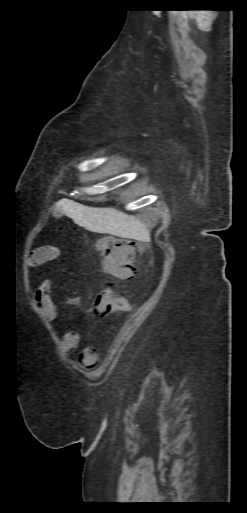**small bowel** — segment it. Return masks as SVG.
Here are the masks:
<instances>
[{"label": "small bowel", "instance_id": "c3829d8e", "mask_svg": "<svg viewBox=\"0 0 247 513\" xmlns=\"http://www.w3.org/2000/svg\"><path fill=\"white\" fill-rule=\"evenodd\" d=\"M55 248L52 246H46L35 250L27 261V267L29 271H32L35 267L49 261L55 254ZM53 283L50 279L43 280L35 290V300L41 311L42 317L45 321L52 323L57 317V308L51 297V290ZM73 305L81 308L85 312L92 313V305L98 300H94L92 304H85L81 300L73 299ZM80 336L74 331L66 332L60 342L61 350L64 354H70L75 351L79 345ZM97 358V353L91 347L85 349L81 361L85 368L92 367L94 361Z\"/></svg>", "mask_w": 247, "mask_h": 513}]
</instances>
